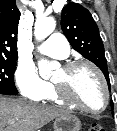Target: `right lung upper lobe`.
Here are the masks:
<instances>
[{"label": "right lung upper lobe", "mask_w": 117, "mask_h": 131, "mask_svg": "<svg viewBox=\"0 0 117 131\" xmlns=\"http://www.w3.org/2000/svg\"><path fill=\"white\" fill-rule=\"evenodd\" d=\"M20 11L15 0H0V55L17 56Z\"/></svg>", "instance_id": "cb5924a9"}]
</instances>
